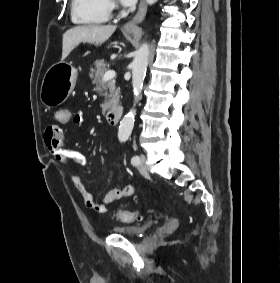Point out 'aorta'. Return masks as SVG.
<instances>
[{"mask_svg":"<svg viewBox=\"0 0 280 283\" xmlns=\"http://www.w3.org/2000/svg\"><path fill=\"white\" fill-rule=\"evenodd\" d=\"M149 5L157 2V0H146ZM149 60V46L144 43L137 50L135 57L132 61V87L134 94V106L138 100L141 98V92L143 89V82L146 75V70ZM136 110L132 108L121 120L118 139L122 142L126 141L133 129L135 121Z\"/></svg>","mask_w":280,"mask_h":283,"instance_id":"aorta-1","label":"aorta"}]
</instances>
